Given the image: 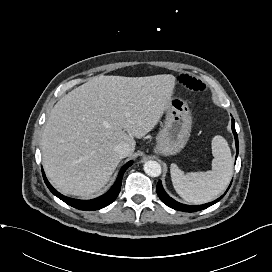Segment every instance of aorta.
<instances>
[{
	"mask_svg": "<svg viewBox=\"0 0 272 272\" xmlns=\"http://www.w3.org/2000/svg\"><path fill=\"white\" fill-rule=\"evenodd\" d=\"M144 171L150 177H158L162 172L161 165L156 161H147L144 164Z\"/></svg>",
	"mask_w": 272,
	"mask_h": 272,
	"instance_id": "1",
	"label": "aorta"
}]
</instances>
